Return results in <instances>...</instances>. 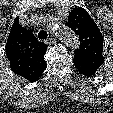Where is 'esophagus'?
<instances>
[{
  "label": "esophagus",
  "instance_id": "1",
  "mask_svg": "<svg viewBox=\"0 0 113 113\" xmlns=\"http://www.w3.org/2000/svg\"><path fill=\"white\" fill-rule=\"evenodd\" d=\"M55 42H56V40H55V38L52 37V36H50V37L45 41V43H46L47 45H52V44H54Z\"/></svg>",
  "mask_w": 113,
  "mask_h": 113
}]
</instances>
